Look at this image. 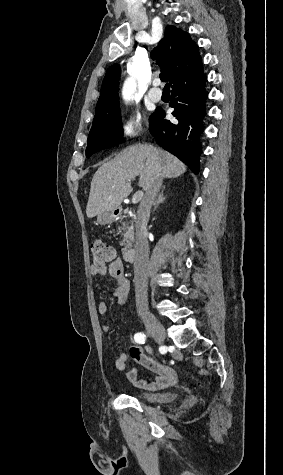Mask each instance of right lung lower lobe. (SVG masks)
Returning a JSON list of instances; mask_svg holds the SVG:
<instances>
[{
  "instance_id": "1",
  "label": "right lung lower lobe",
  "mask_w": 283,
  "mask_h": 475,
  "mask_svg": "<svg viewBox=\"0 0 283 475\" xmlns=\"http://www.w3.org/2000/svg\"><path fill=\"white\" fill-rule=\"evenodd\" d=\"M203 67L172 84L170 107L176 120H165V111L158 107L150 116V132L156 142L177 156L192 172H199V156L202 153L199 137L204 130L207 92Z\"/></svg>"
}]
</instances>
